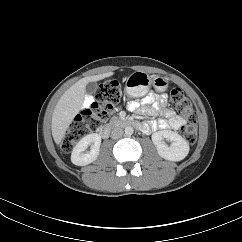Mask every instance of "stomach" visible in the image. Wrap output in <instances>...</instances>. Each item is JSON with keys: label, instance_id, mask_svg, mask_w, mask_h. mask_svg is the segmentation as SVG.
<instances>
[{"label": "stomach", "instance_id": "stomach-1", "mask_svg": "<svg viewBox=\"0 0 242 242\" xmlns=\"http://www.w3.org/2000/svg\"><path fill=\"white\" fill-rule=\"evenodd\" d=\"M157 92H163L168 88V80L159 75L150 76L144 71L133 72L126 81V93L130 97H142L151 88Z\"/></svg>", "mask_w": 242, "mask_h": 242}]
</instances>
